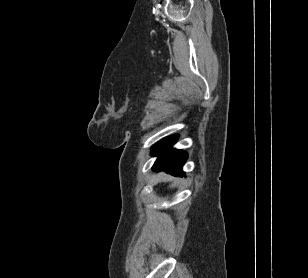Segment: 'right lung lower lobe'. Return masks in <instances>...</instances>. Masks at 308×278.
Here are the masks:
<instances>
[{
  "label": "right lung lower lobe",
  "instance_id": "obj_1",
  "mask_svg": "<svg viewBox=\"0 0 308 278\" xmlns=\"http://www.w3.org/2000/svg\"><path fill=\"white\" fill-rule=\"evenodd\" d=\"M177 136H169L157 142L151 149L153 155L158 158L153 165L155 171H166L175 176H183L182 166L187 159V153L182 150L171 149L176 142Z\"/></svg>",
  "mask_w": 308,
  "mask_h": 278
}]
</instances>
